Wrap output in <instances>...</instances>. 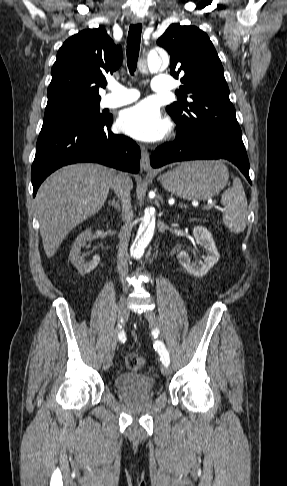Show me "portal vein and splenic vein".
<instances>
[{
	"label": "portal vein and splenic vein",
	"mask_w": 287,
	"mask_h": 486,
	"mask_svg": "<svg viewBox=\"0 0 287 486\" xmlns=\"http://www.w3.org/2000/svg\"><path fill=\"white\" fill-rule=\"evenodd\" d=\"M170 204L172 205L173 203H170ZM214 206H215V203H214L213 201H208V203H207V205L204 207V209H209V208L214 207ZM179 207H180V208H185V209H187V206H186V205H182V204H181V205H179ZM221 210H223V209H221Z\"/></svg>",
	"instance_id": "portal-vein-and-splenic-vein-1"
}]
</instances>
